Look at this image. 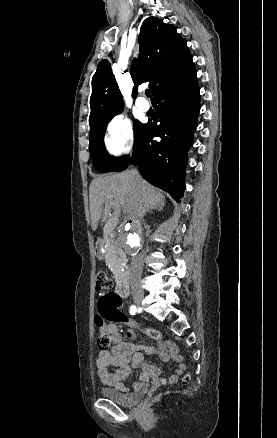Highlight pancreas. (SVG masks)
Here are the masks:
<instances>
[{
    "instance_id": "cf45deb5",
    "label": "pancreas",
    "mask_w": 277,
    "mask_h": 438,
    "mask_svg": "<svg viewBox=\"0 0 277 438\" xmlns=\"http://www.w3.org/2000/svg\"><path fill=\"white\" fill-rule=\"evenodd\" d=\"M114 239V231H104L103 235H100L99 239H97L96 244L100 245V253H104L103 257L105 260H108L106 263L109 265L110 270H121L123 264L122 254L120 251H117Z\"/></svg>"
}]
</instances>
